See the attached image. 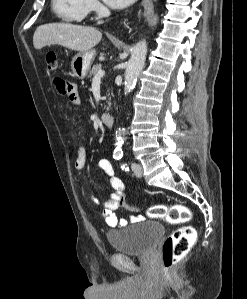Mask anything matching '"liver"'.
I'll use <instances>...</instances> for the list:
<instances>
[{"mask_svg": "<svg viewBox=\"0 0 247 299\" xmlns=\"http://www.w3.org/2000/svg\"><path fill=\"white\" fill-rule=\"evenodd\" d=\"M102 33L95 27L74 25L70 23H50L40 25L33 36L35 49L54 44L68 49L86 52L96 46Z\"/></svg>", "mask_w": 247, "mask_h": 299, "instance_id": "liver-1", "label": "liver"}]
</instances>
